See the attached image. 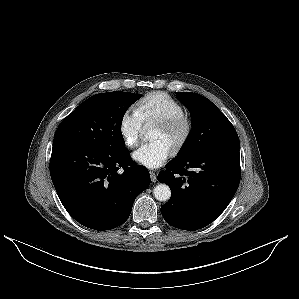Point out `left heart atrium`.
Returning <instances> with one entry per match:
<instances>
[{
	"label": "left heart atrium",
	"instance_id": "left-heart-atrium-1",
	"mask_svg": "<svg viewBox=\"0 0 299 299\" xmlns=\"http://www.w3.org/2000/svg\"><path fill=\"white\" fill-rule=\"evenodd\" d=\"M171 154V148L162 140H154L142 144L133 152L132 158L147 168H158L163 165Z\"/></svg>",
	"mask_w": 299,
	"mask_h": 299
}]
</instances>
